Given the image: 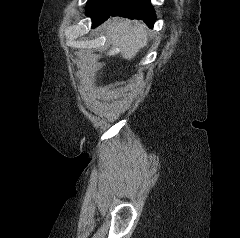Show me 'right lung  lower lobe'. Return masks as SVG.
I'll return each instance as SVG.
<instances>
[{"mask_svg":"<svg viewBox=\"0 0 240 238\" xmlns=\"http://www.w3.org/2000/svg\"><path fill=\"white\" fill-rule=\"evenodd\" d=\"M110 16L143 20L149 27H152L156 20V14L150 0H125L114 12L98 21L96 26L100 25Z\"/></svg>","mask_w":240,"mask_h":238,"instance_id":"obj_1","label":"right lung lower lobe"}]
</instances>
